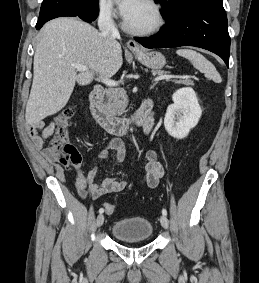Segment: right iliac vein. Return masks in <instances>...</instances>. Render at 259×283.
<instances>
[{"instance_id": "right-iliac-vein-1", "label": "right iliac vein", "mask_w": 259, "mask_h": 283, "mask_svg": "<svg viewBox=\"0 0 259 283\" xmlns=\"http://www.w3.org/2000/svg\"><path fill=\"white\" fill-rule=\"evenodd\" d=\"M103 223H104V215L99 214L97 219H96V226L100 227V226H102Z\"/></svg>"}]
</instances>
